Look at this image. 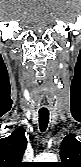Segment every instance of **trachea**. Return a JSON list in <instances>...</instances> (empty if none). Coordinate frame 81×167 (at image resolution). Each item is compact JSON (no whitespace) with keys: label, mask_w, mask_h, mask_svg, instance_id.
Wrapping results in <instances>:
<instances>
[{"label":"trachea","mask_w":81,"mask_h":167,"mask_svg":"<svg viewBox=\"0 0 81 167\" xmlns=\"http://www.w3.org/2000/svg\"><path fill=\"white\" fill-rule=\"evenodd\" d=\"M49 123V112L48 111H39V127L40 131L44 132Z\"/></svg>","instance_id":"3493384b"}]
</instances>
